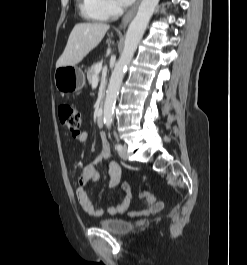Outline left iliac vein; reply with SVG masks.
Returning a JSON list of instances; mask_svg holds the SVG:
<instances>
[{
	"mask_svg": "<svg viewBox=\"0 0 247 265\" xmlns=\"http://www.w3.org/2000/svg\"><path fill=\"white\" fill-rule=\"evenodd\" d=\"M118 154H119V156L122 159H124V160L127 159L128 154H127V147H126V145H123L122 148L120 150H118Z\"/></svg>",
	"mask_w": 247,
	"mask_h": 265,
	"instance_id": "obj_1",
	"label": "left iliac vein"
}]
</instances>
